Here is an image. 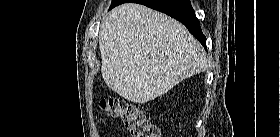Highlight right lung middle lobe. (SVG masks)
<instances>
[{
  "mask_svg": "<svg viewBox=\"0 0 280 137\" xmlns=\"http://www.w3.org/2000/svg\"><path fill=\"white\" fill-rule=\"evenodd\" d=\"M123 1L124 0H113L110 8L120 5Z\"/></svg>",
  "mask_w": 280,
  "mask_h": 137,
  "instance_id": "obj_1",
  "label": "right lung middle lobe"
}]
</instances>
